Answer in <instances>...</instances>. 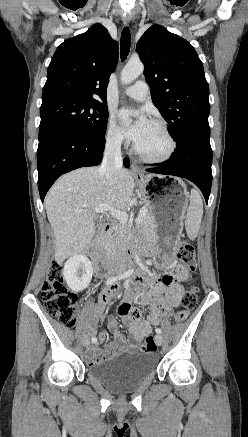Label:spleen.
<instances>
[{
    "instance_id": "obj_1",
    "label": "spleen",
    "mask_w": 248,
    "mask_h": 437,
    "mask_svg": "<svg viewBox=\"0 0 248 437\" xmlns=\"http://www.w3.org/2000/svg\"><path fill=\"white\" fill-rule=\"evenodd\" d=\"M203 216V202L197 190H191L190 204L187 209L185 230L187 236L194 240L199 232Z\"/></svg>"
}]
</instances>
